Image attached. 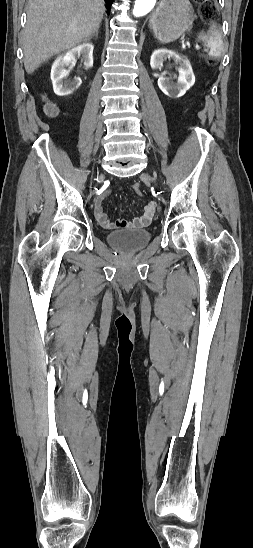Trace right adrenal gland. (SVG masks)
<instances>
[{"label":"right adrenal gland","mask_w":253,"mask_h":548,"mask_svg":"<svg viewBox=\"0 0 253 548\" xmlns=\"http://www.w3.org/2000/svg\"><path fill=\"white\" fill-rule=\"evenodd\" d=\"M98 33H99V32L96 31L94 34L91 35V37H90L89 39H91V38H93V37H95V38L97 39V38H98Z\"/></svg>","instance_id":"obj_1"}]
</instances>
